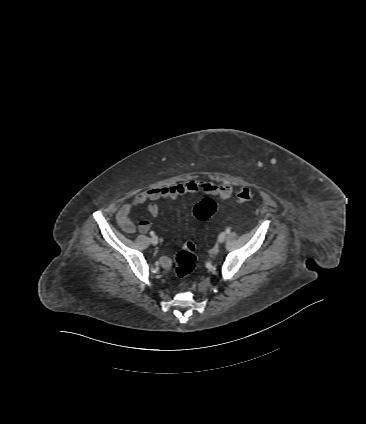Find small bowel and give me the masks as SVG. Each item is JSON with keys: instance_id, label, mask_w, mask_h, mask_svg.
I'll return each mask as SVG.
<instances>
[{"instance_id": "1", "label": "small bowel", "mask_w": 366, "mask_h": 424, "mask_svg": "<svg viewBox=\"0 0 366 424\" xmlns=\"http://www.w3.org/2000/svg\"><path fill=\"white\" fill-rule=\"evenodd\" d=\"M203 192L210 196H216L221 200H228L233 195V188L228 184H215L204 180H188L175 185H167L145 190L137 194L129 203L123 205L117 212L116 220L119 227L127 234H132L136 230L130 213L133 208L149 202L147 211L150 216L156 217L159 213V205L157 201L161 199H176L179 196ZM151 228L148 221H141L138 224V230L146 233ZM163 268H169L171 259L163 257L161 259Z\"/></svg>"}]
</instances>
